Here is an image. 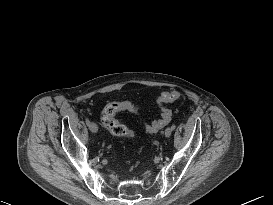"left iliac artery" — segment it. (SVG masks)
Instances as JSON below:
<instances>
[{"instance_id":"left-iliac-artery-1","label":"left iliac artery","mask_w":273,"mask_h":205,"mask_svg":"<svg viewBox=\"0 0 273 205\" xmlns=\"http://www.w3.org/2000/svg\"><path fill=\"white\" fill-rule=\"evenodd\" d=\"M175 127H176L175 125H172V126H171V129H172V130H174V129H175Z\"/></svg>"}]
</instances>
